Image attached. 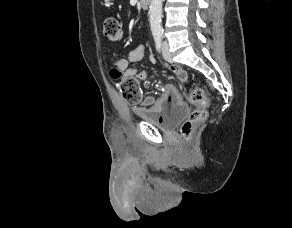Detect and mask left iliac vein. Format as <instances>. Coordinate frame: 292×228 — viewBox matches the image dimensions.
Wrapping results in <instances>:
<instances>
[{"label":"left iliac vein","mask_w":292,"mask_h":228,"mask_svg":"<svg viewBox=\"0 0 292 228\" xmlns=\"http://www.w3.org/2000/svg\"><path fill=\"white\" fill-rule=\"evenodd\" d=\"M162 54L166 61H171V57L168 51V43L166 41L162 44Z\"/></svg>","instance_id":"obj_1"}]
</instances>
